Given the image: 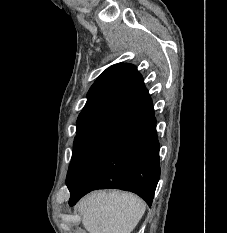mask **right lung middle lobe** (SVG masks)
<instances>
[{"mask_svg":"<svg viewBox=\"0 0 227 233\" xmlns=\"http://www.w3.org/2000/svg\"><path fill=\"white\" fill-rule=\"evenodd\" d=\"M117 137L109 133H77L66 179L69 189L79 182L95 159Z\"/></svg>","mask_w":227,"mask_h":233,"instance_id":"1","label":"right lung middle lobe"}]
</instances>
